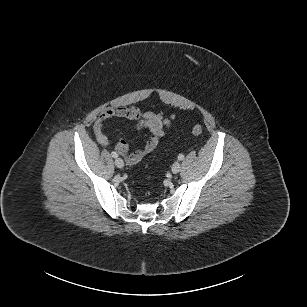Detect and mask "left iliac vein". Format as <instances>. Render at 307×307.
Returning a JSON list of instances; mask_svg holds the SVG:
<instances>
[{
    "instance_id": "obj_1",
    "label": "left iliac vein",
    "mask_w": 307,
    "mask_h": 307,
    "mask_svg": "<svg viewBox=\"0 0 307 307\" xmlns=\"http://www.w3.org/2000/svg\"><path fill=\"white\" fill-rule=\"evenodd\" d=\"M181 169L180 163L177 161L172 165V173L177 174Z\"/></svg>"
}]
</instances>
